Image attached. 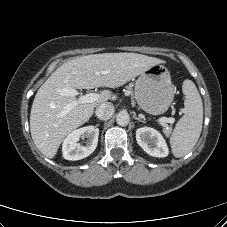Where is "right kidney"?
Instances as JSON below:
<instances>
[{"mask_svg": "<svg viewBox=\"0 0 227 227\" xmlns=\"http://www.w3.org/2000/svg\"><path fill=\"white\" fill-rule=\"evenodd\" d=\"M99 129L95 126H86L72 131L63 141L62 152L66 160H80L89 156L97 147ZM87 138L85 145L79 140Z\"/></svg>", "mask_w": 227, "mask_h": 227, "instance_id": "right-kidney-1", "label": "right kidney"}]
</instances>
